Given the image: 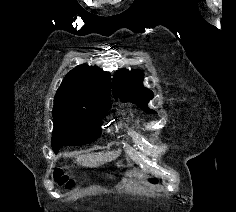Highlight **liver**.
<instances>
[{
    "label": "liver",
    "mask_w": 236,
    "mask_h": 212,
    "mask_svg": "<svg viewBox=\"0 0 236 212\" xmlns=\"http://www.w3.org/2000/svg\"><path fill=\"white\" fill-rule=\"evenodd\" d=\"M118 152H108V153H95L80 155L76 158V163L83 167H98L108 161H112L116 158Z\"/></svg>",
    "instance_id": "6515ba94"
}]
</instances>
